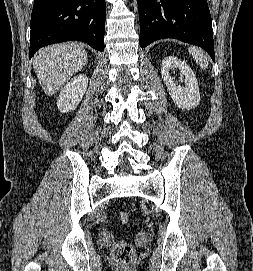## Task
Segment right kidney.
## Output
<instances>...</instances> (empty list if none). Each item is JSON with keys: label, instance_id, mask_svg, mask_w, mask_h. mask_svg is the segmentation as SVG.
<instances>
[{"label": "right kidney", "instance_id": "1", "mask_svg": "<svg viewBox=\"0 0 253 271\" xmlns=\"http://www.w3.org/2000/svg\"><path fill=\"white\" fill-rule=\"evenodd\" d=\"M88 86V78L84 74L71 79L61 90L57 107L62 113L74 110L82 100Z\"/></svg>", "mask_w": 253, "mask_h": 271}]
</instances>
